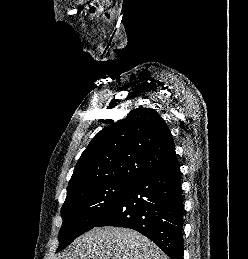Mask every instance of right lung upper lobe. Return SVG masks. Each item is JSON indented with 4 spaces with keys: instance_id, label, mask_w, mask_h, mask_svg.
Masks as SVG:
<instances>
[{
    "instance_id": "1",
    "label": "right lung upper lobe",
    "mask_w": 248,
    "mask_h": 259,
    "mask_svg": "<svg viewBox=\"0 0 248 259\" xmlns=\"http://www.w3.org/2000/svg\"><path fill=\"white\" fill-rule=\"evenodd\" d=\"M176 160L165 121L153 109L137 108L96 134L79 158L67 191L112 180L133 182Z\"/></svg>"
}]
</instances>
